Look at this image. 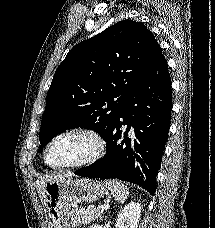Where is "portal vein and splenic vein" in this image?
I'll return each mask as SVG.
<instances>
[{
    "label": "portal vein and splenic vein",
    "instance_id": "1",
    "mask_svg": "<svg viewBox=\"0 0 215 228\" xmlns=\"http://www.w3.org/2000/svg\"><path fill=\"white\" fill-rule=\"evenodd\" d=\"M99 208H101V210H109L110 206L109 204H104V206H99Z\"/></svg>",
    "mask_w": 215,
    "mask_h": 228
}]
</instances>
